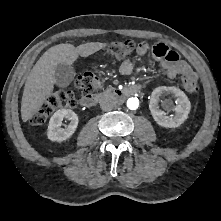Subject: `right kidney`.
I'll return each mask as SVG.
<instances>
[{
    "instance_id": "obj_1",
    "label": "right kidney",
    "mask_w": 221,
    "mask_h": 221,
    "mask_svg": "<svg viewBox=\"0 0 221 221\" xmlns=\"http://www.w3.org/2000/svg\"><path fill=\"white\" fill-rule=\"evenodd\" d=\"M64 118L68 119L70 124L65 128H61ZM78 122V116L74 111L70 109L57 110L50 118L47 136L51 141H65L74 134L77 129Z\"/></svg>"
}]
</instances>
